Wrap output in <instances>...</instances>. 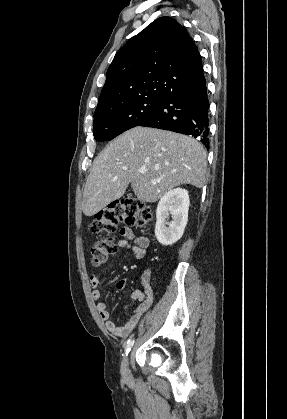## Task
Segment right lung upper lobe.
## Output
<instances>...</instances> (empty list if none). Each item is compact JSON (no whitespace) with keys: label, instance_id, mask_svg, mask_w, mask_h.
<instances>
[{"label":"right lung upper lobe","instance_id":"cb5924a9","mask_svg":"<svg viewBox=\"0 0 287 419\" xmlns=\"http://www.w3.org/2000/svg\"><path fill=\"white\" fill-rule=\"evenodd\" d=\"M204 80L200 53L185 27L161 17L116 53L95 113L132 100L164 99Z\"/></svg>","mask_w":287,"mask_h":419}]
</instances>
